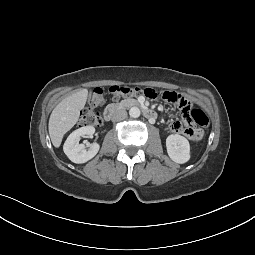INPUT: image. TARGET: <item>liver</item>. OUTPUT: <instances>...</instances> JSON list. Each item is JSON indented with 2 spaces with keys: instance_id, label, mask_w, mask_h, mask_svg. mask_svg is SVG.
<instances>
[{
  "instance_id": "6515ba94",
  "label": "liver",
  "mask_w": 255,
  "mask_h": 255,
  "mask_svg": "<svg viewBox=\"0 0 255 255\" xmlns=\"http://www.w3.org/2000/svg\"><path fill=\"white\" fill-rule=\"evenodd\" d=\"M87 92L81 90L64 98L52 111L49 118V135L52 144L58 148L63 136L78 121L80 110L85 106Z\"/></svg>"
}]
</instances>
